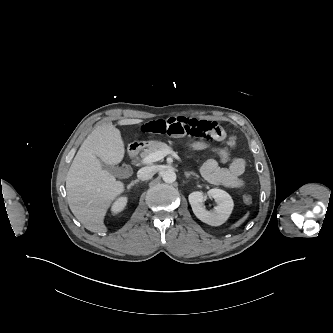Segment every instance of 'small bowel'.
<instances>
[{"label":"small bowel","mask_w":333,"mask_h":333,"mask_svg":"<svg viewBox=\"0 0 333 333\" xmlns=\"http://www.w3.org/2000/svg\"><path fill=\"white\" fill-rule=\"evenodd\" d=\"M138 131L143 134H164L172 138L192 137L208 139L225 143L232 148L234 138L228 136L225 130L215 121L198 120L183 116H172L151 120L138 126ZM228 167H221L214 159L204 161L200 167L202 176L211 184L227 188H241L244 186L242 175L245 171V162L242 158H231L227 148Z\"/></svg>","instance_id":"1"}]
</instances>
